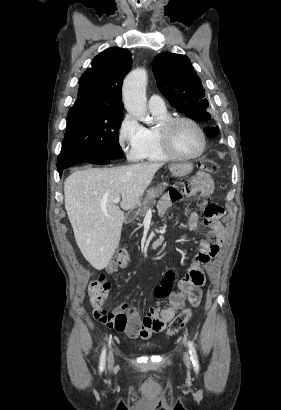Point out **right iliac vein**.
Instances as JSON below:
<instances>
[{"label":"right iliac vein","mask_w":281,"mask_h":410,"mask_svg":"<svg viewBox=\"0 0 281 410\" xmlns=\"http://www.w3.org/2000/svg\"><path fill=\"white\" fill-rule=\"evenodd\" d=\"M113 365H114V356L112 353H110L108 356V369L109 370L112 369Z\"/></svg>","instance_id":"1"}]
</instances>
